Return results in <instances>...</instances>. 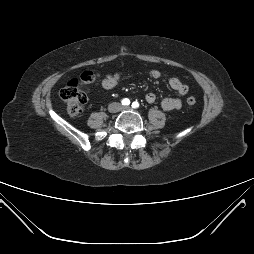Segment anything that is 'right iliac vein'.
Returning <instances> with one entry per match:
<instances>
[{
  "mask_svg": "<svg viewBox=\"0 0 254 254\" xmlns=\"http://www.w3.org/2000/svg\"><path fill=\"white\" fill-rule=\"evenodd\" d=\"M120 109V106L117 103H112L109 105L108 110L112 113L118 112Z\"/></svg>",
  "mask_w": 254,
  "mask_h": 254,
  "instance_id": "right-iliac-vein-1",
  "label": "right iliac vein"
}]
</instances>
